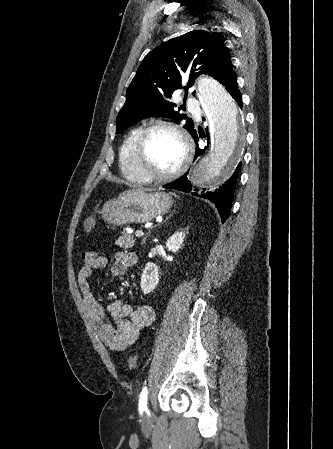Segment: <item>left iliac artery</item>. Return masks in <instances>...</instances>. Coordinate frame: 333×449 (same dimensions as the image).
Segmentation results:
<instances>
[{"mask_svg": "<svg viewBox=\"0 0 333 449\" xmlns=\"http://www.w3.org/2000/svg\"><path fill=\"white\" fill-rule=\"evenodd\" d=\"M147 397H148V390L147 387H143L140 396H139V412L142 414L143 411H146L149 413L147 408Z\"/></svg>", "mask_w": 333, "mask_h": 449, "instance_id": "obj_1", "label": "left iliac artery"}]
</instances>
